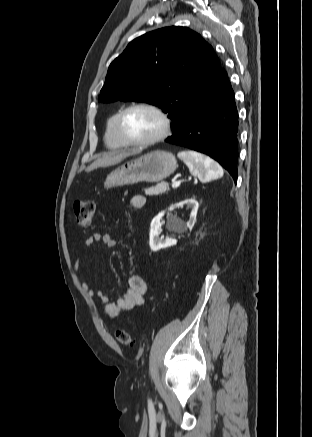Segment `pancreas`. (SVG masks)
I'll return each instance as SVG.
<instances>
[{
    "label": "pancreas",
    "instance_id": "pancreas-1",
    "mask_svg": "<svg viewBox=\"0 0 312 437\" xmlns=\"http://www.w3.org/2000/svg\"><path fill=\"white\" fill-rule=\"evenodd\" d=\"M169 190V186L166 182L157 184L155 187L145 189V194L149 196L160 195Z\"/></svg>",
    "mask_w": 312,
    "mask_h": 437
}]
</instances>
